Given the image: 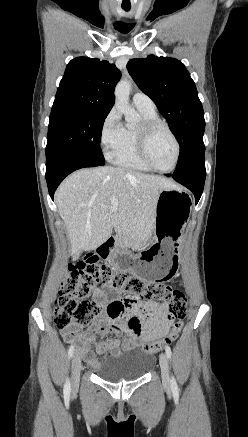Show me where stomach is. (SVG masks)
<instances>
[{
	"mask_svg": "<svg viewBox=\"0 0 248 437\" xmlns=\"http://www.w3.org/2000/svg\"><path fill=\"white\" fill-rule=\"evenodd\" d=\"M191 210V200L179 188L159 192L154 215V243L137 256L126 249L117 251L115 272L134 273L144 279V286H166L178 270L184 230Z\"/></svg>",
	"mask_w": 248,
	"mask_h": 437,
	"instance_id": "0dacf381",
	"label": "stomach"
}]
</instances>
